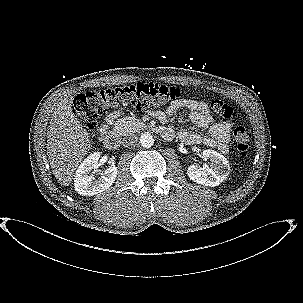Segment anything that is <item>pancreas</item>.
Instances as JSON below:
<instances>
[{"label": "pancreas", "mask_w": 303, "mask_h": 303, "mask_svg": "<svg viewBox=\"0 0 303 303\" xmlns=\"http://www.w3.org/2000/svg\"><path fill=\"white\" fill-rule=\"evenodd\" d=\"M145 127V124L135 117H124L116 123L115 132L118 135H126L130 132H138Z\"/></svg>", "instance_id": "pancreas-1"}]
</instances>
